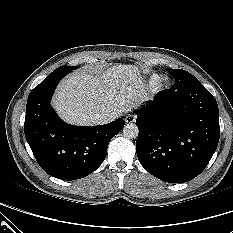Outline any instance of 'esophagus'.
Masks as SVG:
<instances>
[{
	"label": "esophagus",
	"mask_w": 233,
	"mask_h": 233,
	"mask_svg": "<svg viewBox=\"0 0 233 233\" xmlns=\"http://www.w3.org/2000/svg\"><path fill=\"white\" fill-rule=\"evenodd\" d=\"M136 120V116L132 115V114H128L125 117V122L126 123H134Z\"/></svg>",
	"instance_id": "34e87169"
}]
</instances>
